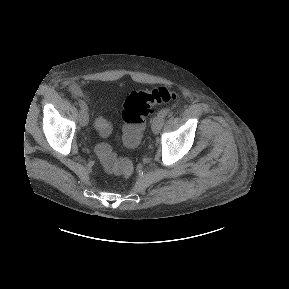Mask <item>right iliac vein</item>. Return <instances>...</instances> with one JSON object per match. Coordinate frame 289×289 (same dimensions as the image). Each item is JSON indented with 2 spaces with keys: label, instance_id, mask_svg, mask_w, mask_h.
Wrapping results in <instances>:
<instances>
[{
  "label": "right iliac vein",
  "instance_id": "63e3f726",
  "mask_svg": "<svg viewBox=\"0 0 289 289\" xmlns=\"http://www.w3.org/2000/svg\"><path fill=\"white\" fill-rule=\"evenodd\" d=\"M79 121H80V124L82 126H86L89 122V114H88V111L87 110H81L80 111V116H79Z\"/></svg>",
  "mask_w": 289,
  "mask_h": 289
}]
</instances>
